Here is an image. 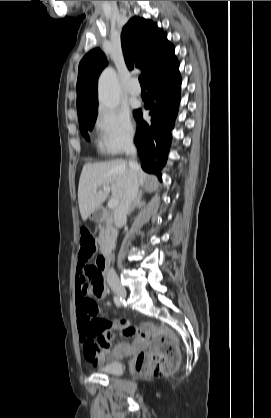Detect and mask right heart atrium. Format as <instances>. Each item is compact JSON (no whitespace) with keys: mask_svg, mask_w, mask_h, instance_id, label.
Wrapping results in <instances>:
<instances>
[{"mask_svg":"<svg viewBox=\"0 0 271 418\" xmlns=\"http://www.w3.org/2000/svg\"><path fill=\"white\" fill-rule=\"evenodd\" d=\"M100 148L111 155L118 154L133 142L134 127L127 110L101 107L96 116Z\"/></svg>","mask_w":271,"mask_h":418,"instance_id":"d8ad5b80","label":"right heart atrium"}]
</instances>
